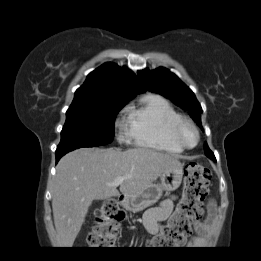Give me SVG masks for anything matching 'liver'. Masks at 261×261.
Listing matches in <instances>:
<instances>
[{
    "label": "liver",
    "mask_w": 261,
    "mask_h": 261,
    "mask_svg": "<svg viewBox=\"0 0 261 261\" xmlns=\"http://www.w3.org/2000/svg\"><path fill=\"white\" fill-rule=\"evenodd\" d=\"M180 165L177 157L148 148L121 151L116 148H80L58 163L52 190L54 224L60 247H72L88 208L95 199L137 194L163 173Z\"/></svg>",
    "instance_id": "1"
}]
</instances>
